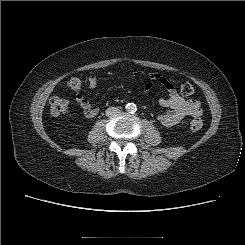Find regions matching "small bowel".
<instances>
[{
    "mask_svg": "<svg viewBox=\"0 0 245 245\" xmlns=\"http://www.w3.org/2000/svg\"><path fill=\"white\" fill-rule=\"evenodd\" d=\"M143 73L141 71L133 72L134 77H140ZM97 77L90 75L88 77V86L94 89L97 86ZM155 84H160L168 92L167 98H161L159 104L165 108L166 111L157 116L158 121L164 127H172L178 124L183 118L187 116H200L202 113L201 104L194 99H186L181 96L176 90L174 84L169 81L164 75L160 73H150L149 81L145 85V91L149 92ZM76 102L80 106L83 114L87 118H94L98 114V110L94 108L90 101L82 94L76 95Z\"/></svg>",
    "mask_w": 245,
    "mask_h": 245,
    "instance_id": "small-bowel-1",
    "label": "small bowel"
}]
</instances>
